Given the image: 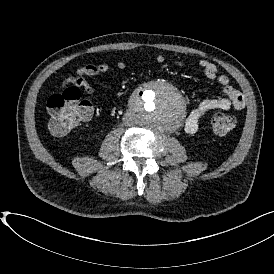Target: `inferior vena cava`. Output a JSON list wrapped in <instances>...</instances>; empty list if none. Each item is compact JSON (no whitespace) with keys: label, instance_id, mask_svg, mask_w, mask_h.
<instances>
[{"label":"inferior vena cava","instance_id":"1","mask_svg":"<svg viewBox=\"0 0 274 274\" xmlns=\"http://www.w3.org/2000/svg\"><path fill=\"white\" fill-rule=\"evenodd\" d=\"M128 121H129V120H128L127 118H124V119H123L124 124H127V125H128V124H129Z\"/></svg>","mask_w":274,"mask_h":274}]
</instances>
